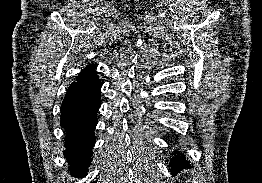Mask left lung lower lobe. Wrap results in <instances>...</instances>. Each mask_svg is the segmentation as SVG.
I'll return each mask as SVG.
<instances>
[{
	"label": "left lung lower lobe",
	"mask_w": 262,
	"mask_h": 183,
	"mask_svg": "<svg viewBox=\"0 0 262 183\" xmlns=\"http://www.w3.org/2000/svg\"><path fill=\"white\" fill-rule=\"evenodd\" d=\"M170 162H171L170 163L171 173L173 175L189 167V163L186 161L183 155L178 151L175 152L174 157L171 159Z\"/></svg>",
	"instance_id": "obj_1"
}]
</instances>
